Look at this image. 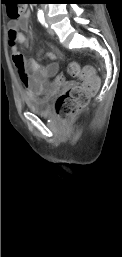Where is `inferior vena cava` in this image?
Listing matches in <instances>:
<instances>
[{
	"label": "inferior vena cava",
	"mask_w": 122,
	"mask_h": 257,
	"mask_svg": "<svg viewBox=\"0 0 122 257\" xmlns=\"http://www.w3.org/2000/svg\"><path fill=\"white\" fill-rule=\"evenodd\" d=\"M42 6H45V7H44V9L46 10V6H47V4H42Z\"/></svg>",
	"instance_id": "602c4592"
}]
</instances>
